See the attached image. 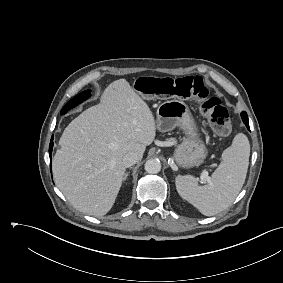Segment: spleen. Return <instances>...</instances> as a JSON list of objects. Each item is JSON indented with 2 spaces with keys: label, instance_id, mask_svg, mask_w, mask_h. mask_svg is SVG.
Wrapping results in <instances>:
<instances>
[{
  "label": "spleen",
  "instance_id": "obj_1",
  "mask_svg": "<svg viewBox=\"0 0 283 283\" xmlns=\"http://www.w3.org/2000/svg\"><path fill=\"white\" fill-rule=\"evenodd\" d=\"M249 155L248 138L239 133L232 145L223 151L222 161L208 184L199 186L195 177L178 175L175 180L177 192L205 216L225 210L233 203L245 182Z\"/></svg>",
  "mask_w": 283,
  "mask_h": 283
}]
</instances>
